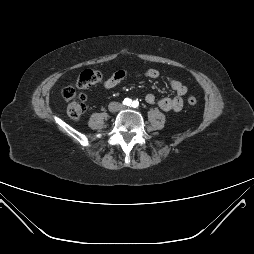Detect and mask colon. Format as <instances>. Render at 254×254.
I'll list each match as a JSON object with an SVG mask.
<instances>
[{
    "mask_svg": "<svg viewBox=\"0 0 254 254\" xmlns=\"http://www.w3.org/2000/svg\"><path fill=\"white\" fill-rule=\"evenodd\" d=\"M103 79V74L96 70H84L72 85L62 91V97L67 101L66 112L71 119H79L85 112V96L79 90L88 88ZM189 105L194 106L198 100L195 96L187 99Z\"/></svg>",
    "mask_w": 254,
    "mask_h": 254,
    "instance_id": "colon-1",
    "label": "colon"
}]
</instances>
